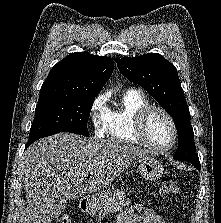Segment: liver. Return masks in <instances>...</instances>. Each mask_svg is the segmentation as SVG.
Segmentation results:
<instances>
[{
  "label": "liver",
  "mask_w": 221,
  "mask_h": 223,
  "mask_svg": "<svg viewBox=\"0 0 221 223\" xmlns=\"http://www.w3.org/2000/svg\"><path fill=\"white\" fill-rule=\"evenodd\" d=\"M151 156L144 148L117 140L86 139L58 133L34 142L21 161L27 199L23 223H52L72 200L109 186L136 159ZM89 181L82 184V177Z\"/></svg>",
  "instance_id": "1"
}]
</instances>
